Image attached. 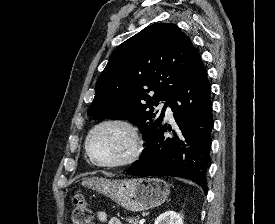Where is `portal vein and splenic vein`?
Instances as JSON below:
<instances>
[{
    "label": "portal vein and splenic vein",
    "mask_w": 275,
    "mask_h": 224,
    "mask_svg": "<svg viewBox=\"0 0 275 224\" xmlns=\"http://www.w3.org/2000/svg\"><path fill=\"white\" fill-rule=\"evenodd\" d=\"M145 219L144 218H142L140 221H139V224H144L145 223Z\"/></svg>",
    "instance_id": "1"
}]
</instances>
